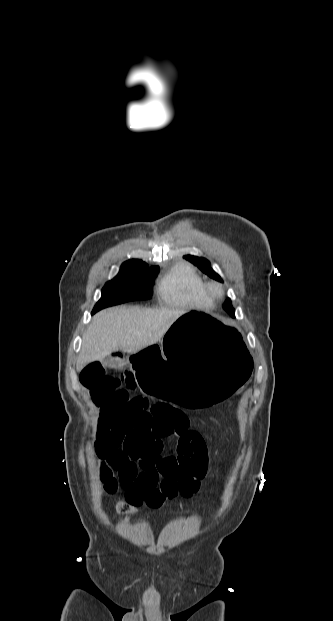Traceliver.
Segmentation results:
<instances>
[{
    "mask_svg": "<svg viewBox=\"0 0 333 621\" xmlns=\"http://www.w3.org/2000/svg\"><path fill=\"white\" fill-rule=\"evenodd\" d=\"M184 313L140 307H115L97 313L82 337L77 367L102 360L119 349L132 354L157 343Z\"/></svg>",
    "mask_w": 333,
    "mask_h": 621,
    "instance_id": "1",
    "label": "liver"
}]
</instances>
